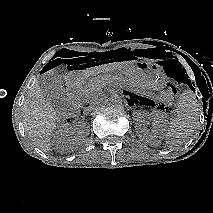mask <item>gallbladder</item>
<instances>
[{
	"label": "gallbladder",
	"mask_w": 213,
	"mask_h": 213,
	"mask_svg": "<svg viewBox=\"0 0 213 213\" xmlns=\"http://www.w3.org/2000/svg\"><path fill=\"white\" fill-rule=\"evenodd\" d=\"M38 83L43 96L58 113L67 112L71 108L63 80L59 74H45L39 78Z\"/></svg>",
	"instance_id": "obj_1"
}]
</instances>
